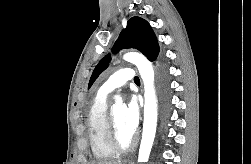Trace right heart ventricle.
I'll return each instance as SVG.
<instances>
[{
	"label": "right heart ventricle",
	"mask_w": 251,
	"mask_h": 164,
	"mask_svg": "<svg viewBox=\"0 0 251 164\" xmlns=\"http://www.w3.org/2000/svg\"><path fill=\"white\" fill-rule=\"evenodd\" d=\"M87 128L95 158L108 159L117 154L109 140L107 95L101 92L97 94L89 107Z\"/></svg>",
	"instance_id": "obj_1"
}]
</instances>
